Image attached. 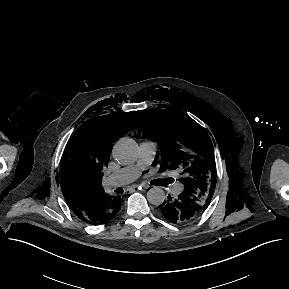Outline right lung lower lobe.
<instances>
[{"mask_svg": "<svg viewBox=\"0 0 289 289\" xmlns=\"http://www.w3.org/2000/svg\"><path fill=\"white\" fill-rule=\"evenodd\" d=\"M122 199L123 198L119 196H110L109 194H105L96 201L90 211L78 217L93 225L106 223L119 211Z\"/></svg>", "mask_w": 289, "mask_h": 289, "instance_id": "98d812e1", "label": "right lung lower lobe"}]
</instances>
